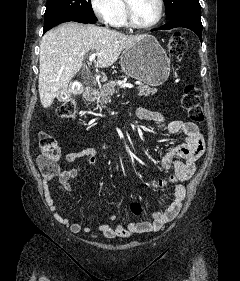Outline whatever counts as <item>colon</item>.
Instances as JSON below:
<instances>
[{
    "label": "colon",
    "instance_id": "1",
    "mask_svg": "<svg viewBox=\"0 0 240 281\" xmlns=\"http://www.w3.org/2000/svg\"><path fill=\"white\" fill-rule=\"evenodd\" d=\"M168 52L172 56H180L186 50V42L180 33L173 34L168 41ZM182 108L188 113L191 121L202 123L204 121V111L200 104V90L194 85H188L184 88L181 97ZM56 116L61 119L70 120L75 117L76 104L72 99L63 101L56 109ZM38 144L40 156L38 166L44 175L54 174L58 168L57 162L60 157V147L54 136L46 131L38 134ZM133 214L141 215L143 213V204L134 201L130 205Z\"/></svg>",
    "mask_w": 240,
    "mask_h": 281
}]
</instances>
